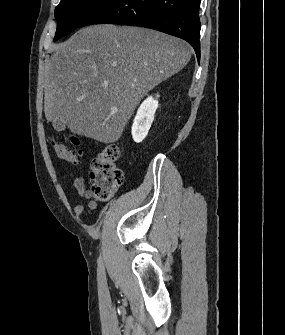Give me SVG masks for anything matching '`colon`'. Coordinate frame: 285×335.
Returning a JSON list of instances; mask_svg holds the SVG:
<instances>
[{"mask_svg":"<svg viewBox=\"0 0 285 335\" xmlns=\"http://www.w3.org/2000/svg\"><path fill=\"white\" fill-rule=\"evenodd\" d=\"M70 142L74 146L73 149L51 141L59 158L78 164L82 156L79 140L72 136ZM119 155V149L116 146L108 145L91 162L89 172L91 193L98 200H109L123 182V172L117 165Z\"/></svg>","mask_w":285,"mask_h":335,"instance_id":"colon-1","label":"colon"}]
</instances>
